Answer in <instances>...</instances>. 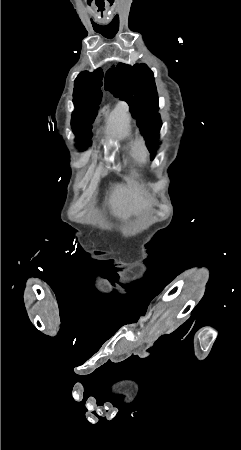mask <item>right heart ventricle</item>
<instances>
[{"label":"right heart ventricle","instance_id":"1","mask_svg":"<svg viewBox=\"0 0 241 450\" xmlns=\"http://www.w3.org/2000/svg\"><path fill=\"white\" fill-rule=\"evenodd\" d=\"M130 117L127 109L120 105L107 118L105 129L106 138L110 142L128 139L130 137Z\"/></svg>","mask_w":241,"mask_h":450}]
</instances>
